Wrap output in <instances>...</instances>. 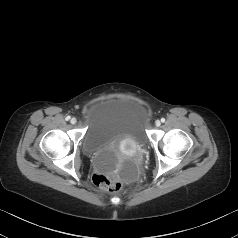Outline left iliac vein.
<instances>
[{"mask_svg": "<svg viewBox=\"0 0 238 238\" xmlns=\"http://www.w3.org/2000/svg\"><path fill=\"white\" fill-rule=\"evenodd\" d=\"M155 125L159 127V126L161 125V122H160L159 120H157V121L155 122Z\"/></svg>", "mask_w": 238, "mask_h": 238, "instance_id": "left-iliac-vein-1", "label": "left iliac vein"}]
</instances>
